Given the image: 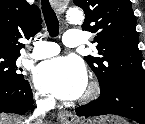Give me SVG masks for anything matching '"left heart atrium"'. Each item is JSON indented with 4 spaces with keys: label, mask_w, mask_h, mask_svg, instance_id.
Segmentation results:
<instances>
[{
    "label": "left heart atrium",
    "mask_w": 145,
    "mask_h": 124,
    "mask_svg": "<svg viewBox=\"0 0 145 124\" xmlns=\"http://www.w3.org/2000/svg\"><path fill=\"white\" fill-rule=\"evenodd\" d=\"M36 86L63 100L79 98L87 88V75L82 62L73 57H57L37 66Z\"/></svg>",
    "instance_id": "39dd6f15"
}]
</instances>
